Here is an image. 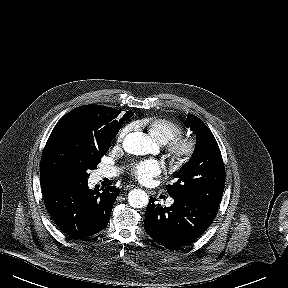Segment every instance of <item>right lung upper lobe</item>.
<instances>
[{
  "instance_id": "cb5924a9",
  "label": "right lung upper lobe",
  "mask_w": 288,
  "mask_h": 288,
  "mask_svg": "<svg viewBox=\"0 0 288 288\" xmlns=\"http://www.w3.org/2000/svg\"><path fill=\"white\" fill-rule=\"evenodd\" d=\"M111 111H118L120 113L119 110L101 105H84L77 107L67 113L57 123L53 131L65 123H76L80 125L84 131L93 133L95 129H98L100 127L106 114ZM129 112L130 111H127L126 114ZM119 124L122 123H120L119 121Z\"/></svg>"
}]
</instances>
